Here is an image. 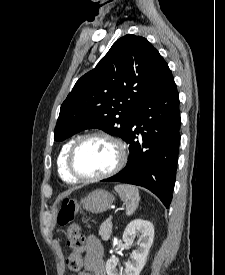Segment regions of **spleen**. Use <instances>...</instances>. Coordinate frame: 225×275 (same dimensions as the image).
<instances>
[{
    "instance_id": "1",
    "label": "spleen",
    "mask_w": 225,
    "mask_h": 275,
    "mask_svg": "<svg viewBox=\"0 0 225 275\" xmlns=\"http://www.w3.org/2000/svg\"><path fill=\"white\" fill-rule=\"evenodd\" d=\"M114 189L126 205V215L131 216L134 214L140 201L138 188L132 185L121 184L116 185Z\"/></svg>"
}]
</instances>
